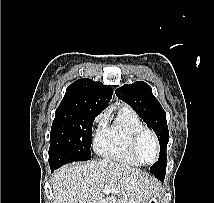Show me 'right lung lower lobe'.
Wrapping results in <instances>:
<instances>
[{
  "mask_svg": "<svg viewBox=\"0 0 214 203\" xmlns=\"http://www.w3.org/2000/svg\"><path fill=\"white\" fill-rule=\"evenodd\" d=\"M50 168H51L52 171H54L55 169H57V168H54V167H50Z\"/></svg>",
  "mask_w": 214,
  "mask_h": 203,
  "instance_id": "obj_1",
  "label": "right lung lower lobe"
}]
</instances>
